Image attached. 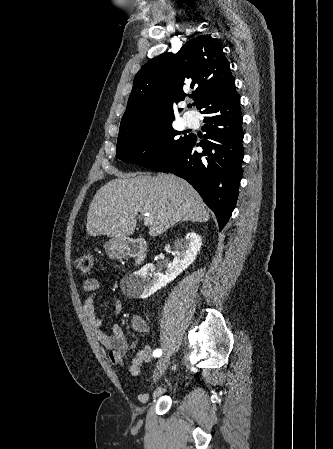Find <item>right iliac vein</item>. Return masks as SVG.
Returning <instances> with one entry per match:
<instances>
[{"label":"right iliac vein","instance_id":"1","mask_svg":"<svg viewBox=\"0 0 333 449\" xmlns=\"http://www.w3.org/2000/svg\"><path fill=\"white\" fill-rule=\"evenodd\" d=\"M169 363V357L168 356H163L159 359V361L157 362L156 368L154 370V374H153V381L156 382L165 372L167 366Z\"/></svg>","mask_w":333,"mask_h":449}]
</instances>
